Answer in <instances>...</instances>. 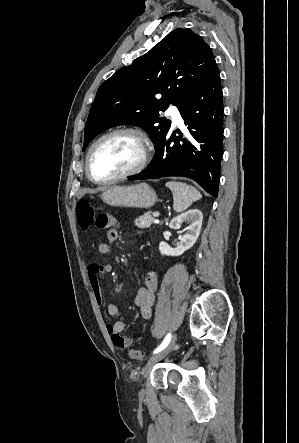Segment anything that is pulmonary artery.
<instances>
[{
    "mask_svg": "<svg viewBox=\"0 0 299 443\" xmlns=\"http://www.w3.org/2000/svg\"><path fill=\"white\" fill-rule=\"evenodd\" d=\"M167 115L172 119L176 125H181L183 120L179 110L175 106H170L167 110Z\"/></svg>",
    "mask_w": 299,
    "mask_h": 443,
    "instance_id": "1",
    "label": "pulmonary artery"
}]
</instances>
